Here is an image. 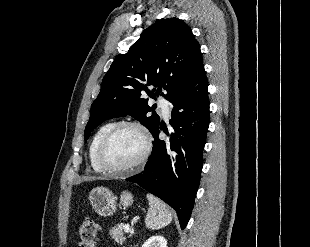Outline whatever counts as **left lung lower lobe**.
<instances>
[{
    "instance_id": "obj_1",
    "label": "left lung lower lobe",
    "mask_w": 310,
    "mask_h": 247,
    "mask_svg": "<svg viewBox=\"0 0 310 247\" xmlns=\"http://www.w3.org/2000/svg\"><path fill=\"white\" fill-rule=\"evenodd\" d=\"M173 104L172 133L155 142L144 172L127 178L159 197L177 212L184 229L190 219L203 166V148L209 127L208 81L204 66L169 100ZM167 133V132H166Z\"/></svg>"
}]
</instances>
